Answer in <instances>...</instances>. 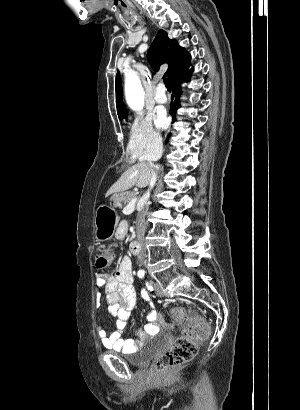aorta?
<instances>
[{"label": "aorta", "instance_id": "1", "mask_svg": "<svg viewBox=\"0 0 300 410\" xmlns=\"http://www.w3.org/2000/svg\"><path fill=\"white\" fill-rule=\"evenodd\" d=\"M144 89L138 73H125V98L128 106L135 112H141L144 106Z\"/></svg>", "mask_w": 300, "mask_h": 410}]
</instances>
